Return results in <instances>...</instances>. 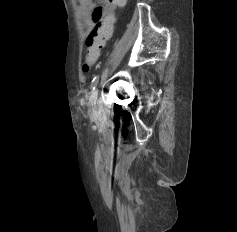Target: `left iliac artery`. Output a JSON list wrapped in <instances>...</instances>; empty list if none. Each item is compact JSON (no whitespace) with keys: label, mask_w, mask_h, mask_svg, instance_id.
I'll return each instance as SVG.
<instances>
[{"label":"left iliac artery","mask_w":237,"mask_h":232,"mask_svg":"<svg viewBox=\"0 0 237 232\" xmlns=\"http://www.w3.org/2000/svg\"><path fill=\"white\" fill-rule=\"evenodd\" d=\"M98 80H99V75H95L92 82H91V85H90L91 91L95 90V88L97 86V83H98Z\"/></svg>","instance_id":"1"}]
</instances>
